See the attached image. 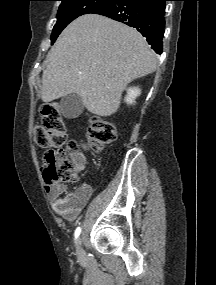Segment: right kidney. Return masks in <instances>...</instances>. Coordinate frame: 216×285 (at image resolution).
Instances as JSON below:
<instances>
[{"label": "right kidney", "mask_w": 216, "mask_h": 285, "mask_svg": "<svg viewBox=\"0 0 216 285\" xmlns=\"http://www.w3.org/2000/svg\"><path fill=\"white\" fill-rule=\"evenodd\" d=\"M141 93L140 89L138 87H133V88H129L127 91V96L125 98V101L128 104H132L135 102V99L137 96H139Z\"/></svg>", "instance_id": "ca27d5eb"}]
</instances>
